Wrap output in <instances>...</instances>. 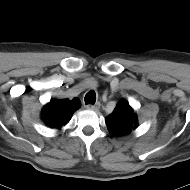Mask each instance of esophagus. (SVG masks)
<instances>
[{"label": "esophagus", "instance_id": "obj_1", "mask_svg": "<svg viewBox=\"0 0 190 190\" xmlns=\"http://www.w3.org/2000/svg\"><path fill=\"white\" fill-rule=\"evenodd\" d=\"M86 108H87L88 110L98 111L99 108H100V104H99V103L96 104V105L88 104V105L86 106Z\"/></svg>", "mask_w": 190, "mask_h": 190}]
</instances>
